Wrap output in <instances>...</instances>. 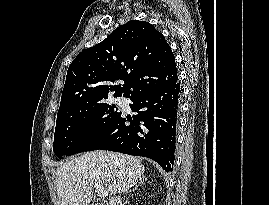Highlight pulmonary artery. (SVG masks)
Returning a JSON list of instances; mask_svg holds the SVG:
<instances>
[{
    "mask_svg": "<svg viewBox=\"0 0 269 205\" xmlns=\"http://www.w3.org/2000/svg\"><path fill=\"white\" fill-rule=\"evenodd\" d=\"M117 103L124 105L125 104V100L123 98H117Z\"/></svg>",
    "mask_w": 269,
    "mask_h": 205,
    "instance_id": "e3ab8cb5",
    "label": "pulmonary artery"
}]
</instances>
